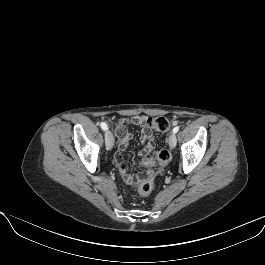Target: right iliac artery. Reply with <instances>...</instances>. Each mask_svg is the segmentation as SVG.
Here are the masks:
<instances>
[{
	"label": "right iliac artery",
	"instance_id": "right-iliac-artery-1",
	"mask_svg": "<svg viewBox=\"0 0 265 265\" xmlns=\"http://www.w3.org/2000/svg\"><path fill=\"white\" fill-rule=\"evenodd\" d=\"M100 126H101V128H102L103 130H107V129H108L107 125H106L104 122H102V123L100 124Z\"/></svg>",
	"mask_w": 265,
	"mask_h": 265
}]
</instances>
